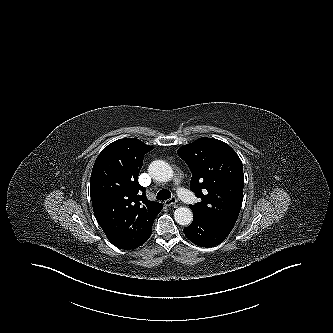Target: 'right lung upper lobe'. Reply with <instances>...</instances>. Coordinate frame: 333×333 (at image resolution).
Listing matches in <instances>:
<instances>
[{
  "mask_svg": "<svg viewBox=\"0 0 333 333\" xmlns=\"http://www.w3.org/2000/svg\"><path fill=\"white\" fill-rule=\"evenodd\" d=\"M152 149L139 139L117 140L103 149L92 169L90 195L95 218L109 241L124 250L145 243L163 208L147 199L137 179L144 155Z\"/></svg>",
  "mask_w": 333,
  "mask_h": 333,
  "instance_id": "cb5924a9",
  "label": "right lung upper lobe"
}]
</instances>
